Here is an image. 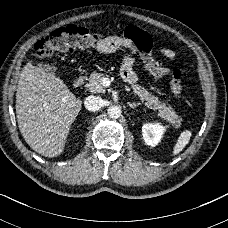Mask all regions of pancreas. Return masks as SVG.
Instances as JSON below:
<instances>
[{
	"label": "pancreas",
	"mask_w": 228,
	"mask_h": 228,
	"mask_svg": "<svg viewBox=\"0 0 228 228\" xmlns=\"http://www.w3.org/2000/svg\"><path fill=\"white\" fill-rule=\"evenodd\" d=\"M106 76L107 75L102 73L93 72L90 74L89 83L85 86L92 93H104L105 89L102 85V80ZM132 89L134 94L140 97L141 101H146L148 107H152L154 110H159V116L161 118L167 120L175 128L180 127L181 119H179V116L170 105L160 102L158 97L152 95L144 87L138 84H133Z\"/></svg>",
	"instance_id": "cf45deb5"
}]
</instances>
